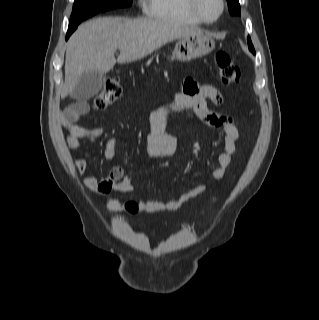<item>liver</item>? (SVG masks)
Segmentation results:
<instances>
[{
  "mask_svg": "<svg viewBox=\"0 0 319 320\" xmlns=\"http://www.w3.org/2000/svg\"><path fill=\"white\" fill-rule=\"evenodd\" d=\"M202 34L162 19L102 17L81 24L70 37L65 59V83L61 98L67 97L84 73L109 72L116 64L142 59L166 43ZM120 50L117 60L114 53Z\"/></svg>",
  "mask_w": 319,
  "mask_h": 320,
  "instance_id": "obj_1",
  "label": "liver"
}]
</instances>
